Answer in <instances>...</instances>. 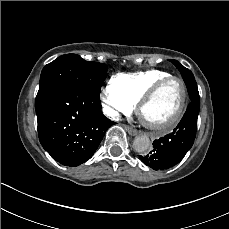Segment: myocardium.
<instances>
[{
  "label": "myocardium",
  "mask_w": 229,
  "mask_h": 229,
  "mask_svg": "<svg viewBox=\"0 0 229 229\" xmlns=\"http://www.w3.org/2000/svg\"><path fill=\"white\" fill-rule=\"evenodd\" d=\"M172 80H179L182 84L178 86V104L176 106V111L170 116L166 121V125L161 124L156 126L148 123L144 118V107L148 104L149 100L164 86L168 85ZM185 104V105H184ZM191 104V94L188 90L186 81L177 75H170L166 78L158 80L152 85L151 89H148L142 94V98L138 99L137 108L139 109V115L144 124L156 134H166L174 129L186 115L188 108ZM183 109V110H182ZM182 110V112H180Z\"/></svg>",
  "instance_id": "obj_1"
}]
</instances>
